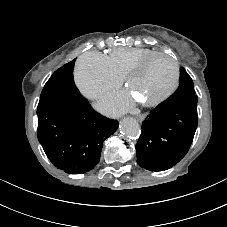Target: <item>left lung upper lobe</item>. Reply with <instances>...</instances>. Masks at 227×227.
<instances>
[{
  "label": "left lung upper lobe",
  "mask_w": 227,
  "mask_h": 227,
  "mask_svg": "<svg viewBox=\"0 0 227 227\" xmlns=\"http://www.w3.org/2000/svg\"><path fill=\"white\" fill-rule=\"evenodd\" d=\"M180 72V85L173 95L195 94L191 77L183 67L180 69Z\"/></svg>",
  "instance_id": "obj_1"
}]
</instances>
